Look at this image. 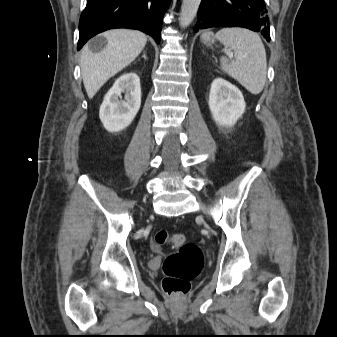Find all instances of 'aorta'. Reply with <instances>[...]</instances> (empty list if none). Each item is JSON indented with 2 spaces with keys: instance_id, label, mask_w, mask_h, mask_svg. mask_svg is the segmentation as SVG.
Wrapping results in <instances>:
<instances>
[{
  "instance_id": "762f6f07",
  "label": "aorta",
  "mask_w": 337,
  "mask_h": 337,
  "mask_svg": "<svg viewBox=\"0 0 337 337\" xmlns=\"http://www.w3.org/2000/svg\"><path fill=\"white\" fill-rule=\"evenodd\" d=\"M201 0H183L180 12V26L185 28L195 18Z\"/></svg>"
}]
</instances>
